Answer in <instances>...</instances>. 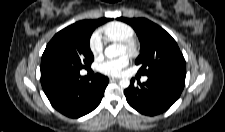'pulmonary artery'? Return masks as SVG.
Masks as SVG:
<instances>
[{
  "label": "pulmonary artery",
  "instance_id": "1",
  "mask_svg": "<svg viewBox=\"0 0 225 132\" xmlns=\"http://www.w3.org/2000/svg\"><path fill=\"white\" fill-rule=\"evenodd\" d=\"M142 80H143V81H146V80H147V77H144Z\"/></svg>",
  "mask_w": 225,
  "mask_h": 132
}]
</instances>
